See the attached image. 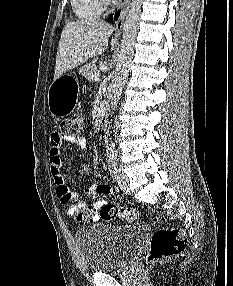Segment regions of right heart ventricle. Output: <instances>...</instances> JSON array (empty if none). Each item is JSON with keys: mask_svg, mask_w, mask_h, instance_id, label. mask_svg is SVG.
Segmentation results:
<instances>
[{"mask_svg": "<svg viewBox=\"0 0 233 286\" xmlns=\"http://www.w3.org/2000/svg\"><path fill=\"white\" fill-rule=\"evenodd\" d=\"M75 15L81 20H92L98 18L103 12L100 0H71Z\"/></svg>", "mask_w": 233, "mask_h": 286, "instance_id": "obj_1", "label": "right heart ventricle"}]
</instances>
